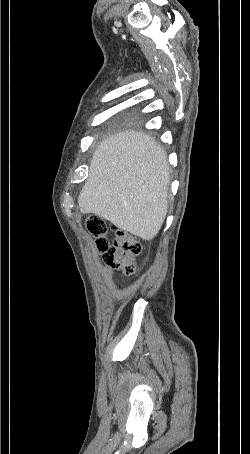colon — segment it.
Wrapping results in <instances>:
<instances>
[{
    "instance_id": "colon-1",
    "label": "colon",
    "mask_w": 250,
    "mask_h": 454,
    "mask_svg": "<svg viewBox=\"0 0 250 454\" xmlns=\"http://www.w3.org/2000/svg\"><path fill=\"white\" fill-rule=\"evenodd\" d=\"M86 227L95 238L98 251L101 253L109 271H121L125 275L135 272L134 257L141 253V244L130 234L118 231L112 243L107 240L108 225L96 216L88 218Z\"/></svg>"
}]
</instances>
